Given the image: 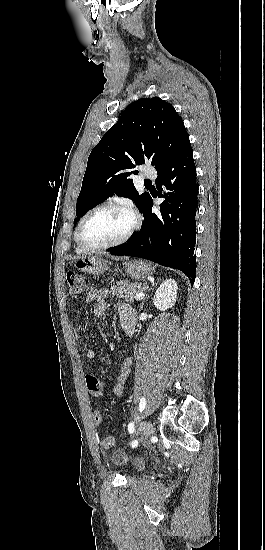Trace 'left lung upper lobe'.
Returning a JSON list of instances; mask_svg holds the SVG:
<instances>
[{
  "instance_id": "5c2ea615",
  "label": "left lung upper lobe",
  "mask_w": 265,
  "mask_h": 550,
  "mask_svg": "<svg viewBox=\"0 0 265 550\" xmlns=\"http://www.w3.org/2000/svg\"><path fill=\"white\" fill-rule=\"evenodd\" d=\"M188 141L184 123L171 104L153 97L128 105L88 158L74 224L114 194L132 198L144 214L152 198L136 191L129 179L138 173L133 169L150 160L160 171Z\"/></svg>"
}]
</instances>
